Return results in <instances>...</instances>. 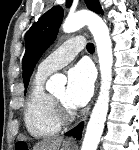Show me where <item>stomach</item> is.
Returning <instances> with one entry per match:
<instances>
[{"instance_id":"0dacf381","label":"stomach","mask_w":139,"mask_h":150,"mask_svg":"<svg viewBox=\"0 0 139 150\" xmlns=\"http://www.w3.org/2000/svg\"><path fill=\"white\" fill-rule=\"evenodd\" d=\"M61 150H73L72 147H68V146H63Z\"/></svg>"}]
</instances>
